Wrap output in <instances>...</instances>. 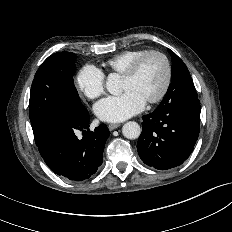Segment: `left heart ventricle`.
<instances>
[{
    "label": "left heart ventricle",
    "instance_id": "1",
    "mask_svg": "<svg viewBox=\"0 0 232 232\" xmlns=\"http://www.w3.org/2000/svg\"><path fill=\"white\" fill-rule=\"evenodd\" d=\"M165 78V67L161 58L151 56L132 78H122V90H132L145 101L156 96L161 90Z\"/></svg>",
    "mask_w": 232,
    "mask_h": 232
}]
</instances>
